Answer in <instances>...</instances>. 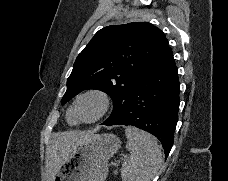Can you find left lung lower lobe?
Here are the masks:
<instances>
[{"mask_svg":"<svg viewBox=\"0 0 228 181\" xmlns=\"http://www.w3.org/2000/svg\"><path fill=\"white\" fill-rule=\"evenodd\" d=\"M179 87L173 53L167 47L140 75L125 115L118 122L106 125H131L153 134L167 158L178 121Z\"/></svg>","mask_w":228,"mask_h":181,"instance_id":"left-lung-lower-lobe-1","label":"left lung lower lobe"}]
</instances>
